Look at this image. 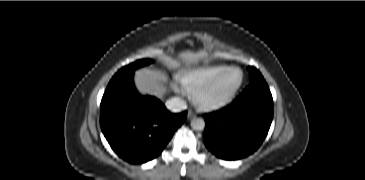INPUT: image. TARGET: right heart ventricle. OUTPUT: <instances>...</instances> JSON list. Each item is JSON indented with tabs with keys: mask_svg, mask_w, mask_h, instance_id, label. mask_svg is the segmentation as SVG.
<instances>
[{
	"mask_svg": "<svg viewBox=\"0 0 365 180\" xmlns=\"http://www.w3.org/2000/svg\"><path fill=\"white\" fill-rule=\"evenodd\" d=\"M226 67V65L221 64L198 67L180 73L178 80L184 91L192 94L197 88L205 84Z\"/></svg>",
	"mask_w": 365,
	"mask_h": 180,
	"instance_id": "1",
	"label": "right heart ventricle"
}]
</instances>
